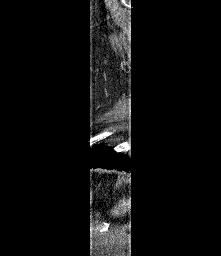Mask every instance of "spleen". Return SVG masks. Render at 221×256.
<instances>
[{
  "label": "spleen",
  "instance_id": "1",
  "mask_svg": "<svg viewBox=\"0 0 221 256\" xmlns=\"http://www.w3.org/2000/svg\"><path fill=\"white\" fill-rule=\"evenodd\" d=\"M130 210V200L127 199H120L118 204L114 207V210L112 211V214L114 216H122L126 214Z\"/></svg>",
  "mask_w": 221,
  "mask_h": 256
}]
</instances>
